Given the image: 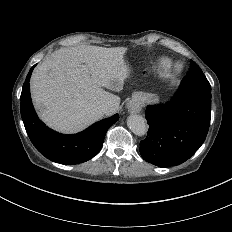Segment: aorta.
Masks as SVG:
<instances>
[{
  "instance_id": "1",
  "label": "aorta",
  "mask_w": 232,
  "mask_h": 232,
  "mask_svg": "<svg viewBox=\"0 0 232 232\" xmlns=\"http://www.w3.org/2000/svg\"><path fill=\"white\" fill-rule=\"evenodd\" d=\"M129 129L137 136H144L147 133L148 125L140 115H130L127 119Z\"/></svg>"
}]
</instances>
